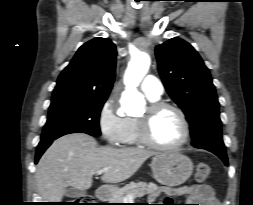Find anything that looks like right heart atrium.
<instances>
[{
    "label": "right heart atrium",
    "instance_id": "obj_1",
    "mask_svg": "<svg viewBox=\"0 0 253 205\" xmlns=\"http://www.w3.org/2000/svg\"><path fill=\"white\" fill-rule=\"evenodd\" d=\"M98 126L108 144L117 146L123 143L127 121L118 112L114 98L110 97L102 104L98 113Z\"/></svg>",
    "mask_w": 253,
    "mask_h": 205
}]
</instances>
